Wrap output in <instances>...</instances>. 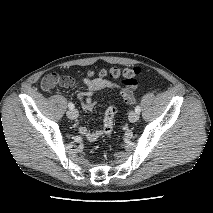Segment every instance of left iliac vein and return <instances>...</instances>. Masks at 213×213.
<instances>
[{
    "instance_id": "1",
    "label": "left iliac vein",
    "mask_w": 213,
    "mask_h": 213,
    "mask_svg": "<svg viewBox=\"0 0 213 213\" xmlns=\"http://www.w3.org/2000/svg\"><path fill=\"white\" fill-rule=\"evenodd\" d=\"M128 119L130 122L134 123V122L138 121L139 114L136 111H131L129 113Z\"/></svg>"
}]
</instances>
